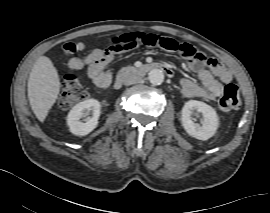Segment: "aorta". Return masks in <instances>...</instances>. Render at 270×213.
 <instances>
[{
    "label": "aorta",
    "mask_w": 270,
    "mask_h": 213,
    "mask_svg": "<svg viewBox=\"0 0 270 213\" xmlns=\"http://www.w3.org/2000/svg\"><path fill=\"white\" fill-rule=\"evenodd\" d=\"M148 79L153 85H161L164 81V73L160 69H152L149 72Z\"/></svg>",
    "instance_id": "1"
}]
</instances>
